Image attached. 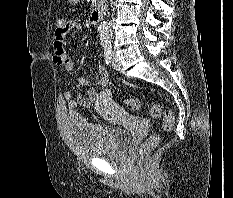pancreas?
I'll return each mask as SVG.
<instances>
[{"label":"pancreas","mask_w":233,"mask_h":198,"mask_svg":"<svg viewBox=\"0 0 233 198\" xmlns=\"http://www.w3.org/2000/svg\"><path fill=\"white\" fill-rule=\"evenodd\" d=\"M103 0H92V7L97 6L99 3H101Z\"/></svg>","instance_id":"cf45deb5"}]
</instances>
